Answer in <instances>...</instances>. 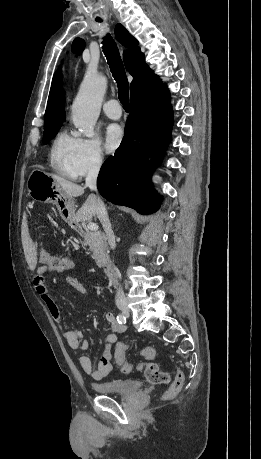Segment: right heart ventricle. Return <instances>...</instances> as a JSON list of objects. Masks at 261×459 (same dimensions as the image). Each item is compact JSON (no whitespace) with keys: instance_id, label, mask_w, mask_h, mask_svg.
Here are the masks:
<instances>
[{"instance_id":"right-heart-ventricle-1","label":"right heart ventricle","mask_w":261,"mask_h":459,"mask_svg":"<svg viewBox=\"0 0 261 459\" xmlns=\"http://www.w3.org/2000/svg\"><path fill=\"white\" fill-rule=\"evenodd\" d=\"M76 149V138L66 131H60L50 147L49 158L51 167L60 175L76 178L73 170V158Z\"/></svg>"}]
</instances>
